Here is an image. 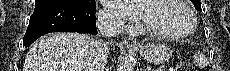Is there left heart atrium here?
<instances>
[{
    "instance_id": "obj_1",
    "label": "left heart atrium",
    "mask_w": 230,
    "mask_h": 71,
    "mask_svg": "<svg viewBox=\"0 0 230 71\" xmlns=\"http://www.w3.org/2000/svg\"><path fill=\"white\" fill-rule=\"evenodd\" d=\"M141 2L130 0H109L108 5L123 13L132 20L143 19V13L140 6Z\"/></svg>"
}]
</instances>
